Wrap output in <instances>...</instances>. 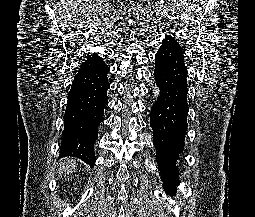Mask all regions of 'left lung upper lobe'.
Instances as JSON below:
<instances>
[{
  "instance_id": "left-lung-upper-lobe-1",
  "label": "left lung upper lobe",
  "mask_w": 255,
  "mask_h": 217,
  "mask_svg": "<svg viewBox=\"0 0 255 217\" xmlns=\"http://www.w3.org/2000/svg\"><path fill=\"white\" fill-rule=\"evenodd\" d=\"M162 45H166L183 52V49L181 48L180 44L169 35L166 36V38L162 41Z\"/></svg>"
}]
</instances>
